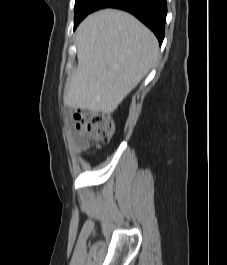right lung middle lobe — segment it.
Wrapping results in <instances>:
<instances>
[{
    "label": "right lung middle lobe",
    "mask_w": 227,
    "mask_h": 265,
    "mask_svg": "<svg viewBox=\"0 0 227 265\" xmlns=\"http://www.w3.org/2000/svg\"><path fill=\"white\" fill-rule=\"evenodd\" d=\"M99 0H76L74 7V29L89 13L93 12Z\"/></svg>",
    "instance_id": "dd1d6c3e"
}]
</instances>
